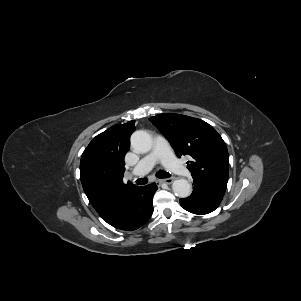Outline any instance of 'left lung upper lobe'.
<instances>
[{"label":"left lung upper lobe","mask_w":301,"mask_h":301,"mask_svg":"<svg viewBox=\"0 0 301 301\" xmlns=\"http://www.w3.org/2000/svg\"><path fill=\"white\" fill-rule=\"evenodd\" d=\"M167 138L178 157L190 155L187 168L193 178L226 189L228 151L218 132L203 120L163 113L149 119Z\"/></svg>","instance_id":"left-lung-upper-lobe-1"}]
</instances>
